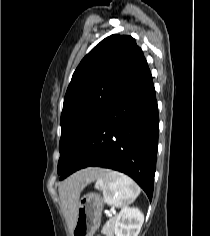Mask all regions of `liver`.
Returning <instances> with one entry per match:
<instances>
[{"label":"liver","instance_id":"6515ba94","mask_svg":"<svg viewBox=\"0 0 210 236\" xmlns=\"http://www.w3.org/2000/svg\"><path fill=\"white\" fill-rule=\"evenodd\" d=\"M105 170L87 168L71 175L59 186L61 207L71 230H73L79 206L80 193L89 183L95 181Z\"/></svg>","mask_w":210,"mask_h":236}]
</instances>
